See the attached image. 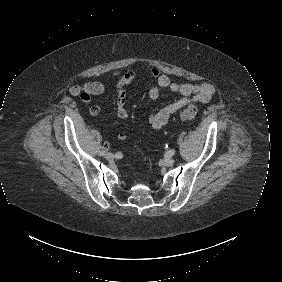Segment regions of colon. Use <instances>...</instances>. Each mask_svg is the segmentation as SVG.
<instances>
[{"label": "colon", "mask_w": 282, "mask_h": 282, "mask_svg": "<svg viewBox=\"0 0 282 282\" xmlns=\"http://www.w3.org/2000/svg\"><path fill=\"white\" fill-rule=\"evenodd\" d=\"M197 112H198L197 107L191 104L188 107L181 110L180 118L182 120H190L196 116Z\"/></svg>", "instance_id": "5ec220e1"}]
</instances>
